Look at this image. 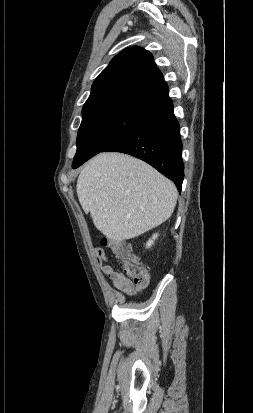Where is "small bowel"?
<instances>
[{"mask_svg":"<svg viewBox=\"0 0 253 413\" xmlns=\"http://www.w3.org/2000/svg\"><path fill=\"white\" fill-rule=\"evenodd\" d=\"M94 256L101 272L109 278L112 285L121 293L132 296L143 288L135 285L124 273L115 268L109 262L102 248H95Z\"/></svg>","mask_w":253,"mask_h":413,"instance_id":"small-bowel-1","label":"small bowel"}]
</instances>
